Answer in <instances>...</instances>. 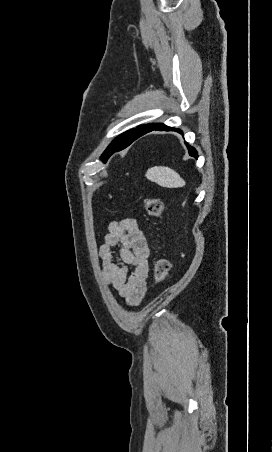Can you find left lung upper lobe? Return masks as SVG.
I'll return each instance as SVG.
<instances>
[{
    "mask_svg": "<svg viewBox=\"0 0 272 452\" xmlns=\"http://www.w3.org/2000/svg\"><path fill=\"white\" fill-rule=\"evenodd\" d=\"M149 125H142L137 127L136 129H132L130 131H127L123 134H121L120 136H118L117 138L121 137V138H125L124 140L127 142L128 140H130L134 135H136L138 132L142 131L143 129L147 128ZM116 139V138H115ZM114 139V140H115ZM114 140L111 142V144L114 142ZM111 144L107 147V149L104 151V153L101 155V160L103 162L106 161V159L108 158L109 155V151H110V146Z\"/></svg>",
    "mask_w": 272,
    "mask_h": 452,
    "instance_id": "5c2ea615",
    "label": "left lung upper lobe"
}]
</instances>
